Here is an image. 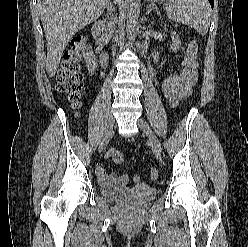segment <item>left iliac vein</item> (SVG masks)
I'll return each instance as SVG.
<instances>
[{
    "mask_svg": "<svg viewBox=\"0 0 248 247\" xmlns=\"http://www.w3.org/2000/svg\"><path fill=\"white\" fill-rule=\"evenodd\" d=\"M137 123H138V126L147 135V137L149 139V142H150L154 152L160 154L162 152V146H161L160 140L155 135V133L152 131V129L150 128L149 124L145 120H143L141 118L138 120Z\"/></svg>",
    "mask_w": 248,
    "mask_h": 247,
    "instance_id": "obj_1",
    "label": "left iliac vein"
}]
</instances>
